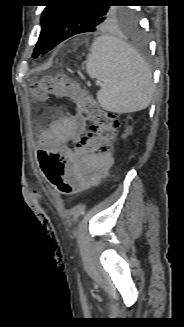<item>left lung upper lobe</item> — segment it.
I'll use <instances>...</instances> for the list:
<instances>
[{"instance_id": "left-lung-upper-lobe-1", "label": "left lung upper lobe", "mask_w": 184, "mask_h": 327, "mask_svg": "<svg viewBox=\"0 0 184 327\" xmlns=\"http://www.w3.org/2000/svg\"><path fill=\"white\" fill-rule=\"evenodd\" d=\"M55 3L58 4L46 6L42 13L41 33L33 51V58L44 51L61 19L66 29L75 30L77 34L94 32L111 25L130 28L135 24L134 12L126 7L106 4L87 5L82 0L55 1Z\"/></svg>"}]
</instances>
